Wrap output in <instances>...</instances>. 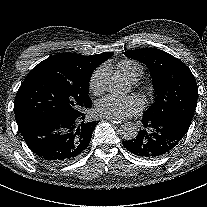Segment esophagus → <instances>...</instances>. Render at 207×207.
<instances>
[{
	"label": "esophagus",
	"instance_id": "1",
	"mask_svg": "<svg viewBox=\"0 0 207 207\" xmlns=\"http://www.w3.org/2000/svg\"><path fill=\"white\" fill-rule=\"evenodd\" d=\"M105 118L107 120L111 121L112 125H114V126H120L123 123V120L120 117L106 116Z\"/></svg>",
	"mask_w": 207,
	"mask_h": 207
}]
</instances>
